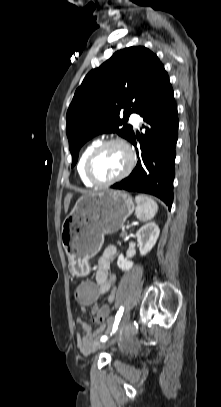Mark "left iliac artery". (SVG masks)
<instances>
[{"instance_id": "obj_1", "label": "left iliac artery", "mask_w": 221, "mask_h": 407, "mask_svg": "<svg viewBox=\"0 0 221 407\" xmlns=\"http://www.w3.org/2000/svg\"><path fill=\"white\" fill-rule=\"evenodd\" d=\"M123 311H124V308H123V306L122 307H120V309L118 310V312H117V314H116V316H115V321H114V325H113V332L114 331H116V329H117V327H118V324H119V322H120V319H121V317H122V315H123ZM111 335V334H110ZM107 336H103L102 338H101V341L102 342H104V341H106L107 340Z\"/></svg>"}]
</instances>
